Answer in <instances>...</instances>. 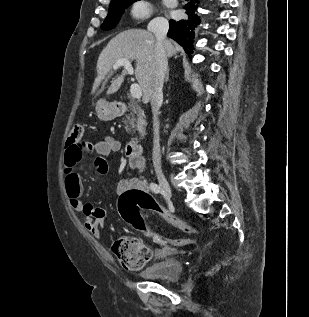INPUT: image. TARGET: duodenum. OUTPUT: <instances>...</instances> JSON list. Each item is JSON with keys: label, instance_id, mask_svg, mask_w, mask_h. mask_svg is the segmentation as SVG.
<instances>
[{"label": "duodenum", "instance_id": "1", "mask_svg": "<svg viewBox=\"0 0 309 317\" xmlns=\"http://www.w3.org/2000/svg\"><path fill=\"white\" fill-rule=\"evenodd\" d=\"M116 111L118 114H122L125 111L124 104H117ZM142 151V144L138 138L131 140L126 146V154L129 158L140 156Z\"/></svg>", "mask_w": 309, "mask_h": 317}]
</instances>
